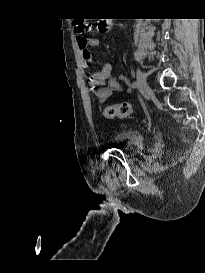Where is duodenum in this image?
I'll return each mask as SVG.
<instances>
[{"instance_id":"1","label":"duodenum","mask_w":205,"mask_h":273,"mask_svg":"<svg viewBox=\"0 0 205 273\" xmlns=\"http://www.w3.org/2000/svg\"><path fill=\"white\" fill-rule=\"evenodd\" d=\"M110 26H111V21L110 20L102 21L100 23V30L104 31V32L109 31Z\"/></svg>"}]
</instances>
